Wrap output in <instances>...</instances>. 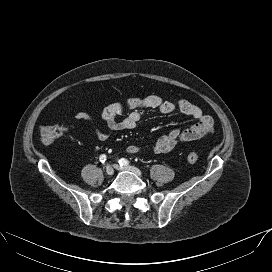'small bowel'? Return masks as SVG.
I'll return each instance as SVG.
<instances>
[{
    "instance_id": "c3829d8e",
    "label": "small bowel",
    "mask_w": 272,
    "mask_h": 272,
    "mask_svg": "<svg viewBox=\"0 0 272 272\" xmlns=\"http://www.w3.org/2000/svg\"><path fill=\"white\" fill-rule=\"evenodd\" d=\"M155 109L163 114H171L180 111L182 114L192 117L196 123L187 128H175L169 133L159 137L152 145L155 153H166L172 151L180 143L191 142L201 139L213 132L214 122L212 117L203 113L201 108L186 100L171 102L158 96L150 95L143 97H133L122 103H112L101 112V119L105 128L97 126L95 118L84 111L75 113V118L88 122L96 126V137L107 140L112 132L134 129L141 120L143 110ZM126 116L118 120L119 115ZM141 147L135 144L127 146L128 153H137Z\"/></svg>"
}]
</instances>
